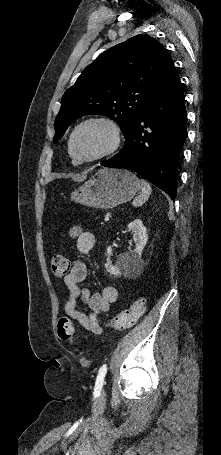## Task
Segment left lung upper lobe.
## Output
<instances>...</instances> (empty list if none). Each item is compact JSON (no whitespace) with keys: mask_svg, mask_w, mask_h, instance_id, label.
<instances>
[{"mask_svg":"<svg viewBox=\"0 0 221 455\" xmlns=\"http://www.w3.org/2000/svg\"><path fill=\"white\" fill-rule=\"evenodd\" d=\"M174 69L164 47L148 35H136L102 53L62 96L54 142L83 115L116 121L124 137L142 108Z\"/></svg>","mask_w":221,"mask_h":455,"instance_id":"1","label":"left lung upper lobe"}]
</instances>
